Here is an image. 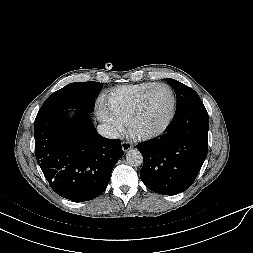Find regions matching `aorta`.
Returning <instances> with one entry per match:
<instances>
[{
  "mask_svg": "<svg viewBox=\"0 0 253 253\" xmlns=\"http://www.w3.org/2000/svg\"><path fill=\"white\" fill-rule=\"evenodd\" d=\"M126 161L131 166H140L143 163V155L137 149H130L126 154Z\"/></svg>",
  "mask_w": 253,
  "mask_h": 253,
  "instance_id": "obj_1",
  "label": "aorta"
}]
</instances>
